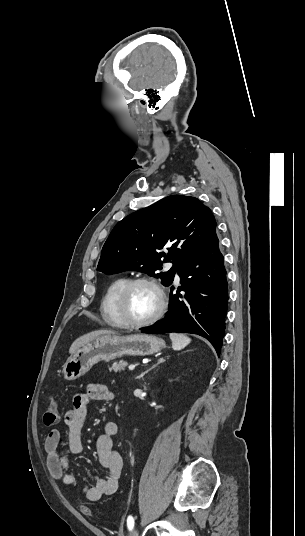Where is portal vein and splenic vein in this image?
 I'll return each instance as SVG.
<instances>
[{"instance_id": "1", "label": "portal vein and splenic vein", "mask_w": 305, "mask_h": 536, "mask_svg": "<svg viewBox=\"0 0 305 536\" xmlns=\"http://www.w3.org/2000/svg\"><path fill=\"white\" fill-rule=\"evenodd\" d=\"M135 366H129V370H134Z\"/></svg>"}]
</instances>
